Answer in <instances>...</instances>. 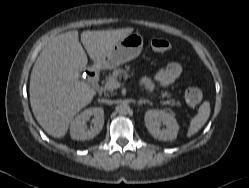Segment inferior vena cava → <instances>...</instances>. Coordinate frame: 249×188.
Wrapping results in <instances>:
<instances>
[{"label":"inferior vena cava","mask_w":249,"mask_h":188,"mask_svg":"<svg viewBox=\"0 0 249 188\" xmlns=\"http://www.w3.org/2000/svg\"><path fill=\"white\" fill-rule=\"evenodd\" d=\"M101 101L109 105L113 104V101L108 100V99H102Z\"/></svg>","instance_id":"inferior-vena-cava-1"}]
</instances>
